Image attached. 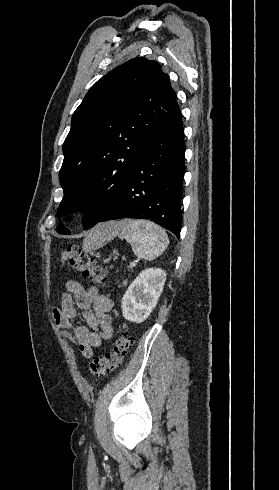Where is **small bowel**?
I'll list each match as a JSON object with an SVG mask.
<instances>
[{"label": "small bowel", "instance_id": "obj_1", "mask_svg": "<svg viewBox=\"0 0 279 490\" xmlns=\"http://www.w3.org/2000/svg\"><path fill=\"white\" fill-rule=\"evenodd\" d=\"M66 292L61 294L60 308H54L52 317L61 336L77 346L84 358L92 356L93 348L113 336L109 312L112 301L95 287L85 288L75 280L65 283ZM80 309L86 325L73 327L71 320Z\"/></svg>", "mask_w": 279, "mask_h": 490}]
</instances>
